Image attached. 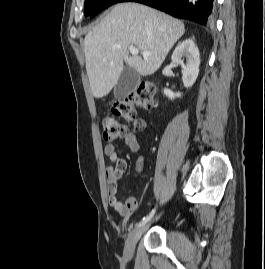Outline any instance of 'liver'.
<instances>
[{"mask_svg": "<svg viewBox=\"0 0 265 269\" xmlns=\"http://www.w3.org/2000/svg\"><path fill=\"white\" fill-rule=\"evenodd\" d=\"M185 33L183 22L137 3H120L84 40L86 71L92 94L102 98L116 86L124 63L138 74L155 73L173 45ZM138 48L151 55L142 59L129 55L128 48Z\"/></svg>", "mask_w": 265, "mask_h": 269, "instance_id": "6515ba94", "label": "liver"}]
</instances>
